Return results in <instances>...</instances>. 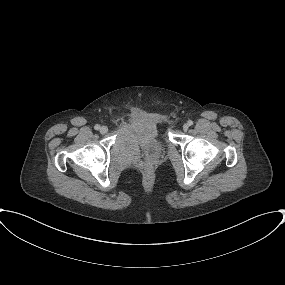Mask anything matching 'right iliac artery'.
Masks as SVG:
<instances>
[{
  "label": "right iliac artery",
  "instance_id": "right-iliac-artery-1",
  "mask_svg": "<svg viewBox=\"0 0 285 285\" xmlns=\"http://www.w3.org/2000/svg\"><path fill=\"white\" fill-rule=\"evenodd\" d=\"M94 128H95V130H99V129H100V125L96 124V125L94 126Z\"/></svg>",
  "mask_w": 285,
  "mask_h": 285
}]
</instances>
